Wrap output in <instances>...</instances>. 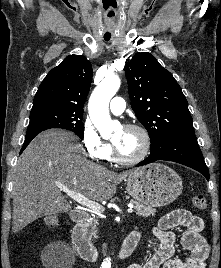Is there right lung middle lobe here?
Masks as SVG:
<instances>
[{
    "mask_svg": "<svg viewBox=\"0 0 221 268\" xmlns=\"http://www.w3.org/2000/svg\"><path fill=\"white\" fill-rule=\"evenodd\" d=\"M82 118L83 112L64 109L31 111L27 134L40 133L50 128H62L74 132L83 139L84 125Z\"/></svg>",
    "mask_w": 221,
    "mask_h": 268,
    "instance_id": "dd1d6c3e",
    "label": "right lung middle lobe"
}]
</instances>
